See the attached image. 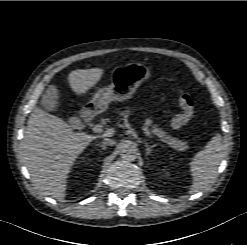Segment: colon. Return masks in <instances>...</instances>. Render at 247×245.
I'll list each match as a JSON object with an SVG mask.
<instances>
[{"label":"colon","instance_id":"5ec220e1","mask_svg":"<svg viewBox=\"0 0 247 245\" xmlns=\"http://www.w3.org/2000/svg\"><path fill=\"white\" fill-rule=\"evenodd\" d=\"M179 106L181 112L171 119V126L175 129H180L187 125L195 112V101L193 97L185 91H181L179 94Z\"/></svg>","mask_w":247,"mask_h":245}]
</instances>
